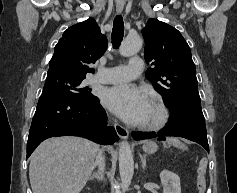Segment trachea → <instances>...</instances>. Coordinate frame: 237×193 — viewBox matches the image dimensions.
<instances>
[{"instance_id": "obj_1", "label": "trachea", "mask_w": 237, "mask_h": 193, "mask_svg": "<svg viewBox=\"0 0 237 193\" xmlns=\"http://www.w3.org/2000/svg\"><path fill=\"white\" fill-rule=\"evenodd\" d=\"M124 35V22L121 15H117L113 22V29H112V44L115 49H117Z\"/></svg>"}]
</instances>
